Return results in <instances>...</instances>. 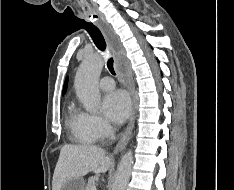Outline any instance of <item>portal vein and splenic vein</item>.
Wrapping results in <instances>:
<instances>
[{"mask_svg": "<svg viewBox=\"0 0 234 190\" xmlns=\"http://www.w3.org/2000/svg\"><path fill=\"white\" fill-rule=\"evenodd\" d=\"M91 190H97V189H96V187H95V186H93V187L91 188Z\"/></svg>", "mask_w": 234, "mask_h": 190, "instance_id": "obj_1", "label": "portal vein and splenic vein"}]
</instances>
